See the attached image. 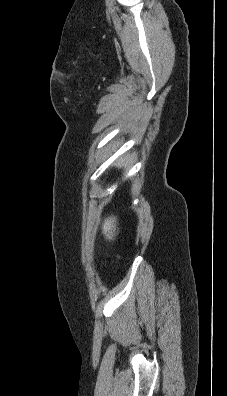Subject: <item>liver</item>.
<instances>
[{
	"label": "liver",
	"mask_w": 227,
	"mask_h": 396,
	"mask_svg": "<svg viewBox=\"0 0 227 396\" xmlns=\"http://www.w3.org/2000/svg\"><path fill=\"white\" fill-rule=\"evenodd\" d=\"M122 163V160L118 163ZM103 234L106 236L107 239L112 240V238L115 235V230H116V218L115 217H109L105 219L103 226Z\"/></svg>",
	"instance_id": "obj_1"
}]
</instances>
